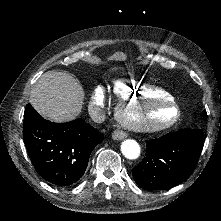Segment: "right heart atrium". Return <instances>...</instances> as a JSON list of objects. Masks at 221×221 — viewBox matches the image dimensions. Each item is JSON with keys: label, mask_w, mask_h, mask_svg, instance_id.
I'll return each instance as SVG.
<instances>
[{"label": "right heart atrium", "mask_w": 221, "mask_h": 221, "mask_svg": "<svg viewBox=\"0 0 221 221\" xmlns=\"http://www.w3.org/2000/svg\"><path fill=\"white\" fill-rule=\"evenodd\" d=\"M107 87L104 84H99L95 88V101L98 104H103L106 101Z\"/></svg>", "instance_id": "d8ad5b80"}]
</instances>
